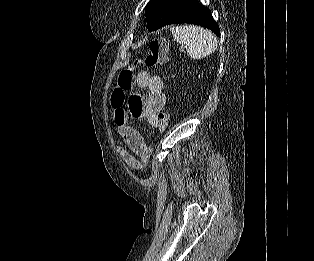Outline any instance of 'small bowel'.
I'll use <instances>...</instances> for the list:
<instances>
[{"label":"small bowel","mask_w":314,"mask_h":261,"mask_svg":"<svg viewBox=\"0 0 314 261\" xmlns=\"http://www.w3.org/2000/svg\"><path fill=\"white\" fill-rule=\"evenodd\" d=\"M137 87L145 90V95H133L128 101V107L124 106L125 101L115 102L111 98L114 108V122L118 133L132 154L124 149L119 151L123 162L132 170H142L150 160L152 148L148 146L141 133L132 125V119L146 120L151 126L159 124V113L163 110L166 97L163 92V80L151 74L147 70L138 72Z\"/></svg>","instance_id":"small-bowel-1"}]
</instances>
